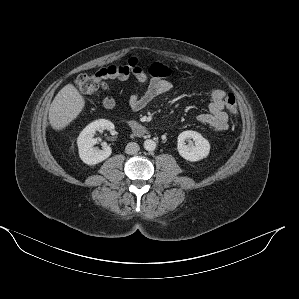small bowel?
<instances>
[{
    "label": "small bowel",
    "mask_w": 299,
    "mask_h": 299,
    "mask_svg": "<svg viewBox=\"0 0 299 299\" xmlns=\"http://www.w3.org/2000/svg\"><path fill=\"white\" fill-rule=\"evenodd\" d=\"M119 70L116 77L125 81L133 75L143 86V89L134 93L129 98V106L133 110H141L147 107L155 98L166 93L172 87L168 80L173 71L167 65L153 63L145 71L136 58H131L123 65L115 66ZM226 92L220 88L210 91V102L208 112L198 115L200 123L209 126L216 132H224L228 129V115L224 111ZM101 104L107 109L116 107V102L112 97H104Z\"/></svg>",
    "instance_id": "c3829d8e"
}]
</instances>
